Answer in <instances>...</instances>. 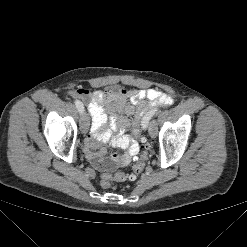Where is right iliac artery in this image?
<instances>
[{"mask_svg": "<svg viewBox=\"0 0 247 247\" xmlns=\"http://www.w3.org/2000/svg\"><path fill=\"white\" fill-rule=\"evenodd\" d=\"M74 103H75V105H76L78 111H79L80 113H83V111H84L83 103H82L80 100H75Z\"/></svg>", "mask_w": 247, "mask_h": 247, "instance_id": "82829eb1", "label": "right iliac artery"}]
</instances>
